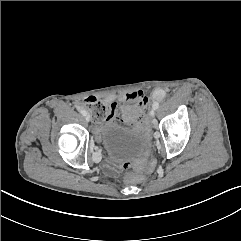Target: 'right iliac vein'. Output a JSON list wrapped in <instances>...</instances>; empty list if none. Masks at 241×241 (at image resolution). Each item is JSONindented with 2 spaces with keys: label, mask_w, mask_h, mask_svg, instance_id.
<instances>
[{
  "label": "right iliac vein",
  "mask_w": 241,
  "mask_h": 241,
  "mask_svg": "<svg viewBox=\"0 0 241 241\" xmlns=\"http://www.w3.org/2000/svg\"><path fill=\"white\" fill-rule=\"evenodd\" d=\"M85 119H86L87 122H89V121H90L89 115H86V116H85ZM98 156H99L98 153H95V154H94V157H95V158L98 157Z\"/></svg>",
  "instance_id": "obj_1"
}]
</instances>
